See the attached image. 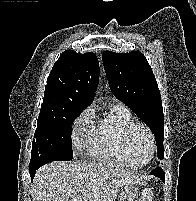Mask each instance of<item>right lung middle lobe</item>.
I'll use <instances>...</instances> for the list:
<instances>
[{
  "instance_id": "right-lung-middle-lobe-1",
  "label": "right lung middle lobe",
  "mask_w": 196,
  "mask_h": 201,
  "mask_svg": "<svg viewBox=\"0 0 196 201\" xmlns=\"http://www.w3.org/2000/svg\"><path fill=\"white\" fill-rule=\"evenodd\" d=\"M82 109L63 113L39 114L29 169H38L52 161L73 158L71 146L72 123Z\"/></svg>"
}]
</instances>
